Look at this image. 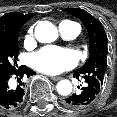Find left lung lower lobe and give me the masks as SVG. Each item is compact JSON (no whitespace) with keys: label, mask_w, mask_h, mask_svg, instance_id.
<instances>
[{"label":"left lung lower lobe","mask_w":117,"mask_h":117,"mask_svg":"<svg viewBox=\"0 0 117 117\" xmlns=\"http://www.w3.org/2000/svg\"><path fill=\"white\" fill-rule=\"evenodd\" d=\"M74 76L76 78H84L86 84L81 88L80 93L72 94L63 99V105L70 109L89 106L97 98L102 84L95 76L82 75L77 71H74Z\"/></svg>","instance_id":"1"}]
</instances>
